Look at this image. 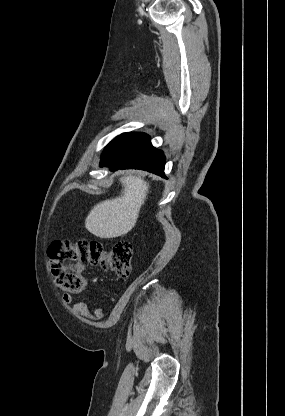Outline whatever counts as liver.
Instances as JSON below:
<instances>
[{
	"mask_svg": "<svg viewBox=\"0 0 285 416\" xmlns=\"http://www.w3.org/2000/svg\"><path fill=\"white\" fill-rule=\"evenodd\" d=\"M124 188L119 198L94 206L85 220V228L97 238H118L134 228L139 212L147 200L149 186L137 176H123Z\"/></svg>",
	"mask_w": 285,
	"mask_h": 416,
	"instance_id": "6515ba94",
	"label": "liver"
}]
</instances>
